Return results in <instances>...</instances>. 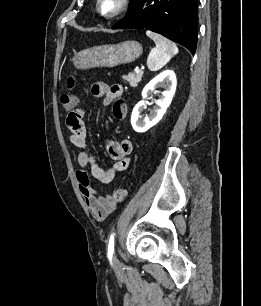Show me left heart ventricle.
<instances>
[{
    "mask_svg": "<svg viewBox=\"0 0 261 306\" xmlns=\"http://www.w3.org/2000/svg\"><path fill=\"white\" fill-rule=\"evenodd\" d=\"M118 4V0H103L101 4V8L104 12L109 13L112 12Z\"/></svg>",
    "mask_w": 261,
    "mask_h": 306,
    "instance_id": "b2bd125f",
    "label": "left heart ventricle"
}]
</instances>
